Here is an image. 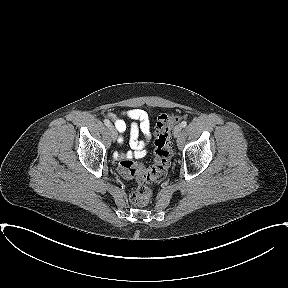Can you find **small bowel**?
Returning <instances> with one entry per match:
<instances>
[{"instance_id":"c3829d8e","label":"small bowel","mask_w":288,"mask_h":288,"mask_svg":"<svg viewBox=\"0 0 288 288\" xmlns=\"http://www.w3.org/2000/svg\"><path fill=\"white\" fill-rule=\"evenodd\" d=\"M123 115L132 120L130 124L129 145L132 149L126 153L116 154L117 159L124 158H143L146 155V142L150 139V121L146 111L138 108H130L123 112ZM114 125L120 134L119 142L123 143V134L126 132L127 123L120 117L110 114ZM139 122V123H136ZM142 132L145 140L139 139V133Z\"/></svg>"}]
</instances>
